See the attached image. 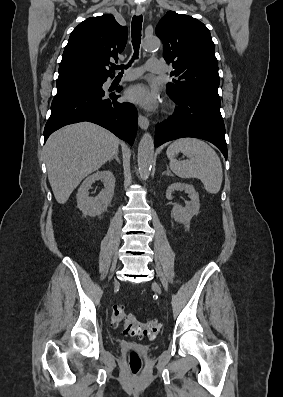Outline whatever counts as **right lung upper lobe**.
<instances>
[{
  "mask_svg": "<svg viewBox=\"0 0 283 397\" xmlns=\"http://www.w3.org/2000/svg\"><path fill=\"white\" fill-rule=\"evenodd\" d=\"M128 30L113 15L88 18L71 33L59 66L57 81L113 76L110 60H118L126 45Z\"/></svg>",
  "mask_w": 283,
  "mask_h": 397,
  "instance_id": "obj_1",
  "label": "right lung upper lobe"
}]
</instances>
